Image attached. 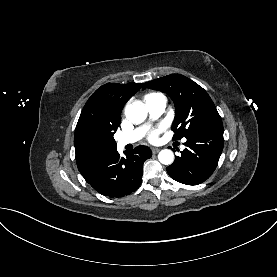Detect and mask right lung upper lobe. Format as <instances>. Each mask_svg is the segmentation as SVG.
Returning a JSON list of instances; mask_svg holds the SVG:
<instances>
[{"label":"right lung upper lobe","instance_id":"1","mask_svg":"<svg viewBox=\"0 0 277 277\" xmlns=\"http://www.w3.org/2000/svg\"><path fill=\"white\" fill-rule=\"evenodd\" d=\"M142 83H107L98 88L82 109L75 129L77 167L84 172L116 149L113 135L120 124L124 104Z\"/></svg>","mask_w":277,"mask_h":277}]
</instances>
